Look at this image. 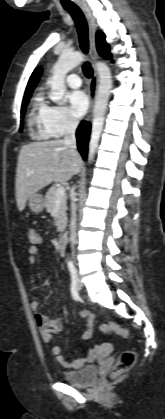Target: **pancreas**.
<instances>
[{
    "mask_svg": "<svg viewBox=\"0 0 165 419\" xmlns=\"http://www.w3.org/2000/svg\"><path fill=\"white\" fill-rule=\"evenodd\" d=\"M58 187L53 186L49 188L45 196V207L46 210L50 213H53L55 208H58L57 212V231H64L67 224V196L64 195L62 198L57 201L56 199V190Z\"/></svg>",
    "mask_w": 165,
    "mask_h": 419,
    "instance_id": "pancreas-1",
    "label": "pancreas"
}]
</instances>
